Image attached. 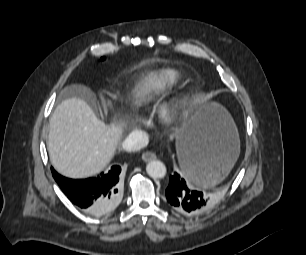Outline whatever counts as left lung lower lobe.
<instances>
[{"label":"left lung lower lobe","instance_id":"left-lung-lower-lobe-1","mask_svg":"<svg viewBox=\"0 0 306 255\" xmlns=\"http://www.w3.org/2000/svg\"><path fill=\"white\" fill-rule=\"evenodd\" d=\"M212 173V163L197 151L188 148L183 156L182 176L178 173L170 176L166 189L169 206L186 216L198 215L206 211L213 200L210 195L192 190L187 185L190 177L206 178Z\"/></svg>","mask_w":306,"mask_h":255}]
</instances>
